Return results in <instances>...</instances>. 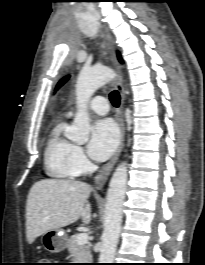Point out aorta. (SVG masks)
<instances>
[{"instance_id": "762f6f07", "label": "aorta", "mask_w": 205, "mask_h": 265, "mask_svg": "<svg viewBox=\"0 0 205 265\" xmlns=\"http://www.w3.org/2000/svg\"><path fill=\"white\" fill-rule=\"evenodd\" d=\"M114 77V71L106 66L83 68L81 70L76 83L78 111L72 127L67 131L68 139L78 143L88 140L90 120L87 112V103L98 88L113 80ZM127 178V164L123 162L115 169L107 191L99 263H113L114 261L121 231Z\"/></svg>"}]
</instances>
